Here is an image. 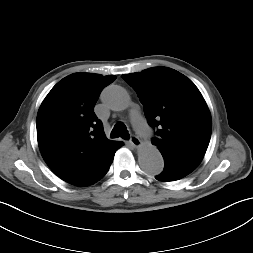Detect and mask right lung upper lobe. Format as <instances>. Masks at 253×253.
<instances>
[{
	"mask_svg": "<svg viewBox=\"0 0 253 253\" xmlns=\"http://www.w3.org/2000/svg\"><path fill=\"white\" fill-rule=\"evenodd\" d=\"M114 75L74 73L59 81L37 114V140L51 170L75 186H88L106 174L108 140L94 106Z\"/></svg>",
	"mask_w": 253,
	"mask_h": 253,
	"instance_id": "1",
	"label": "right lung upper lobe"
}]
</instances>
